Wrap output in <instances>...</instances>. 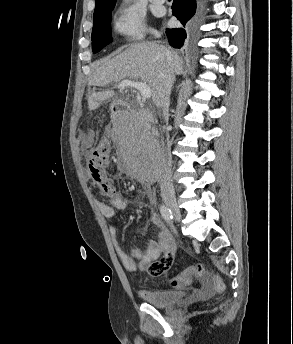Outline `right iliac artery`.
<instances>
[{
    "instance_id": "obj_1",
    "label": "right iliac artery",
    "mask_w": 293,
    "mask_h": 344,
    "mask_svg": "<svg viewBox=\"0 0 293 344\" xmlns=\"http://www.w3.org/2000/svg\"><path fill=\"white\" fill-rule=\"evenodd\" d=\"M160 213L167 222H171V220L173 219L171 210L167 208L165 205H161Z\"/></svg>"
}]
</instances>
